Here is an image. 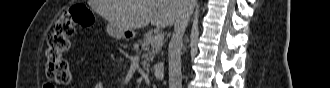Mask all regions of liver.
<instances>
[{
	"label": "liver",
	"instance_id": "obj_1",
	"mask_svg": "<svg viewBox=\"0 0 330 88\" xmlns=\"http://www.w3.org/2000/svg\"><path fill=\"white\" fill-rule=\"evenodd\" d=\"M96 11L119 30L172 26L182 9L180 0H98ZM194 0L189 6L194 7Z\"/></svg>",
	"mask_w": 330,
	"mask_h": 88
}]
</instances>
